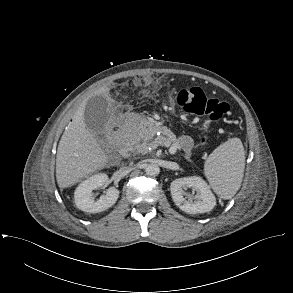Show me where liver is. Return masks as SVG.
Wrapping results in <instances>:
<instances>
[{"label":"liver","mask_w":293,"mask_h":293,"mask_svg":"<svg viewBox=\"0 0 293 293\" xmlns=\"http://www.w3.org/2000/svg\"><path fill=\"white\" fill-rule=\"evenodd\" d=\"M95 95L109 99V88ZM107 157L94 136L86 128L84 105L75 113L58 145L56 180L60 188L71 187L82 178L105 167Z\"/></svg>","instance_id":"obj_1"}]
</instances>
